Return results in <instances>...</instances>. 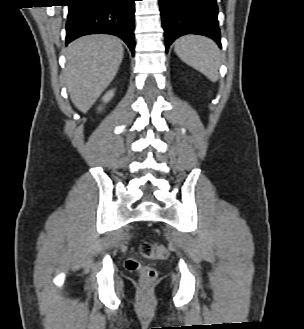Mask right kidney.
<instances>
[{
    "label": "right kidney",
    "mask_w": 304,
    "mask_h": 329,
    "mask_svg": "<svg viewBox=\"0 0 304 329\" xmlns=\"http://www.w3.org/2000/svg\"><path fill=\"white\" fill-rule=\"evenodd\" d=\"M113 95H114V91L107 92L102 98L103 102L107 103L108 101H110V99L113 97Z\"/></svg>",
    "instance_id": "right-kidney-1"
}]
</instances>
